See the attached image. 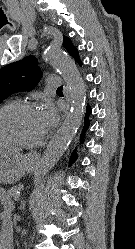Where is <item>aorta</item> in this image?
<instances>
[{"instance_id": "762f6f07", "label": "aorta", "mask_w": 135, "mask_h": 249, "mask_svg": "<svg viewBox=\"0 0 135 249\" xmlns=\"http://www.w3.org/2000/svg\"><path fill=\"white\" fill-rule=\"evenodd\" d=\"M44 57L47 62L57 68L66 81L71 108L61 128L49 142L41 159V164L35 177V190L32 194V205L36 206L40 199V188L44 176L58 162L77 132L85 105V85L74 62L60 48L49 47Z\"/></svg>"}]
</instances>
